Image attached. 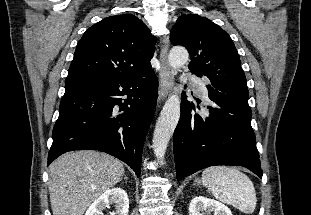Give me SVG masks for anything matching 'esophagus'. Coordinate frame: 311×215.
Listing matches in <instances>:
<instances>
[{
    "label": "esophagus",
    "mask_w": 311,
    "mask_h": 215,
    "mask_svg": "<svg viewBox=\"0 0 311 215\" xmlns=\"http://www.w3.org/2000/svg\"><path fill=\"white\" fill-rule=\"evenodd\" d=\"M169 38L164 36L163 46L160 51V72H159V102L169 93L173 83V73L168 63Z\"/></svg>",
    "instance_id": "34e87169"
}]
</instances>
